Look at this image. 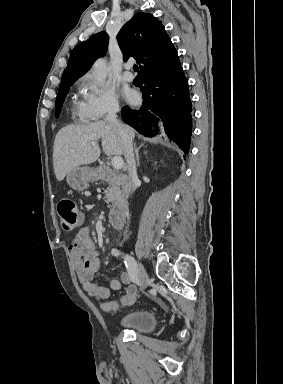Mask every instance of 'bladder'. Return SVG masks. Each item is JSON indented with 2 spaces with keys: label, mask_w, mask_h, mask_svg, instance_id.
Instances as JSON below:
<instances>
[{
  "label": "bladder",
  "mask_w": 283,
  "mask_h": 384,
  "mask_svg": "<svg viewBox=\"0 0 283 384\" xmlns=\"http://www.w3.org/2000/svg\"><path fill=\"white\" fill-rule=\"evenodd\" d=\"M158 326V314L154 308H138L124 314L118 321V327L135 330L144 334L151 333Z\"/></svg>",
  "instance_id": "1"
}]
</instances>
